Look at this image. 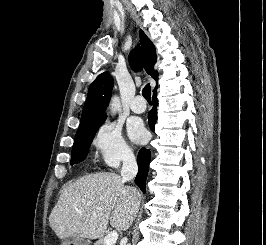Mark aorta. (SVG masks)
<instances>
[{
    "mask_svg": "<svg viewBox=\"0 0 266 245\" xmlns=\"http://www.w3.org/2000/svg\"><path fill=\"white\" fill-rule=\"evenodd\" d=\"M110 108L114 114L116 110H120L121 108V102L119 96H112L111 102H110Z\"/></svg>",
    "mask_w": 266,
    "mask_h": 245,
    "instance_id": "obj_1",
    "label": "aorta"
}]
</instances>
